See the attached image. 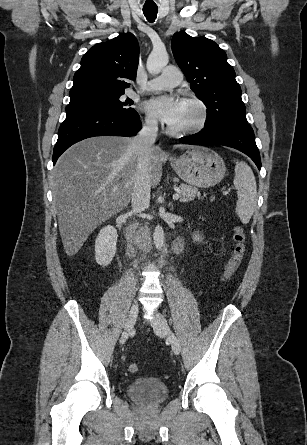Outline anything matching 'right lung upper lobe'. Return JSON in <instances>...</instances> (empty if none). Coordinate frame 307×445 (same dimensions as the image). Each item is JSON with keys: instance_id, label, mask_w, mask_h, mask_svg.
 Listing matches in <instances>:
<instances>
[{"instance_id": "1", "label": "right lung upper lobe", "mask_w": 307, "mask_h": 445, "mask_svg": "<svg viewBox=\"0 0 307 445\" xmlns=\"http://www.w3.org/2000/svg\"><path fill=\"white\" fill-rule=\"evenodd\" d=\"M139 45L131 33L94 45L81 59L73 78L70 98L124 94L135 80Z\"/></svg>"}]
</instances>
